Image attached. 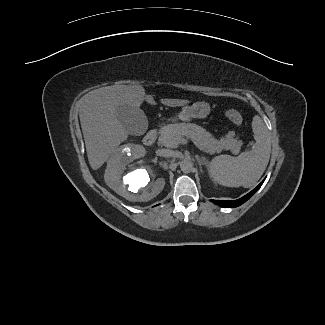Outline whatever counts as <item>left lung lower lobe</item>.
<instances>
[{"mask_svg":"<svg viewBox=\"0 0 325 325\" xmlns=\"http://www.w3.org/2000/svg\"><path fill=\"white\" fill-rule=\"evenodd\" d=\"M265 180V179H264ZM264 180L251 192H249L248 194H246L245 196L241 197L240 199L237 200H211L213 203L225 207V208H234V207H238L241 204H243L244 202H246L263 184Z\"/></svg>","mask_w":325,"mask_h":325,"instance_id":"0a47b994","label":"left lung lower lobe"}]
</instances>
